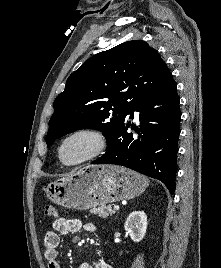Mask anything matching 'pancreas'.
<instances>
[{
	"label": "pancreas",
	"mask_w": 221,
	"mask_h": 268,
	"mask_svg": "<svg viewBox=\"0 0 221 268\" xmlns=\"http://www.w3.org/2000/svg\"><path fill=\"white\" fill-rule=\"evenodd\" d=\"M91 213L95 215H99L102 218H106L108 216H111L115 213V210L112 209V205H105V206H100L98 208H92L90 210Z\"/></svg>",
	"instance_id": "1"
}]
</instances>
